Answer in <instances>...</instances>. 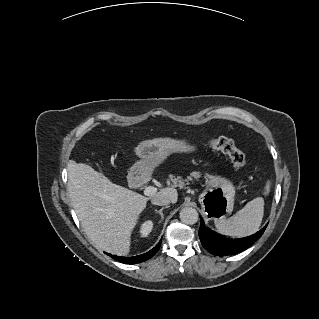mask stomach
Listing matches in <instances>:
<instances>
[{
  "label": "stomach",
  "instance_id": "stomach-1",
  "mask_svg": "<svg viewBox=\"0 0 319 319\" xmlns=\"http://www.w3.org/2000/svg\"><path fill=\"white\" fill-rule=\"evenodd\" d=\"M166 147L167 146L165 144H160V143L148 144L144 146L142 150L143 151L142 155L144 157L149 158L151 161L140 164L135 174L138 173L137 171H140L142 172V178H146L151 171V167L153 164L152 161L158 160L164 154ZM212 210L217 213L218 217H222L229 211L227 204L225 205L222 202H219L218 204L214 205Z\"/></svg>",
  "mask_w": 319,
  "mask_h": 319
}]
</instances>
